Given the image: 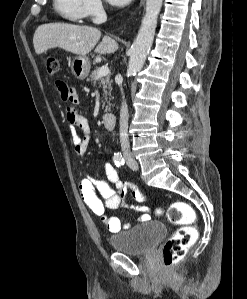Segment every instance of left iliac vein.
<instances>
[{
	"label": "left iliac vein",
	"mask_w": 247,
	"mask_h": 299,
	"mask_svg": "<svg viewBox=\"0 0 247 299\" xmlns=\"http://www.w3.org/2000/svg\"><path fill=\"white\" fill-rule=\"evenodd\" d=\"M127 164L132 170H137L138 169V163L136 162L135 159L128 157L127 158Z\"/></svg>",
	"instance_id": "left-iliac-vein-1"
}]
</instances>
